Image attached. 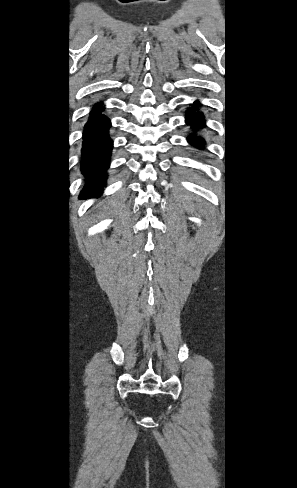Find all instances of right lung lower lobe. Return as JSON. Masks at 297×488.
<instances>
[{
	"instance_id": "1",
	"label": "right lung lower lobe",
	"mask_w": 297,
	"mask_h": 488,
	"mask_svg": "<svg viewBox=\"0 0 297 488\" xmlns=\"http://www.w3.org/2000/svg\"><path fill=\"white\" fill-rule=\"evenodd\" d=\"M102 103L95 105L91 111V118L85 125L82 148V171L87 184L81 192L82 198L98 195L102 191L109 167V157L112 150V140L108 135L110 120L101 114Z\"/></svg>"
}]
</instances>
